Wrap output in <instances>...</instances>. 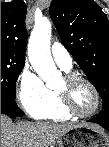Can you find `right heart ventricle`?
Returning <instances> with one entry per match:
<instances>
[{
    "label": "right heart ventricle",
    "instance_id": "right-heart-ventricle-1",
    "mask_svg": "<svg viewBox=\"0 0 109 147\" xmlns=\"http://www.w3.org/2000/svg\"><path fill=\"white\" fill-rule=\"evenodd\" d=\"M32 116L37 119H51L54 121H63L73 118V115L63 107L61 99L56 92H53L52 104L36 111Z\"/></svg>",
    "mask_w": 109,
    "mask_h": 147
}]
</instances>
